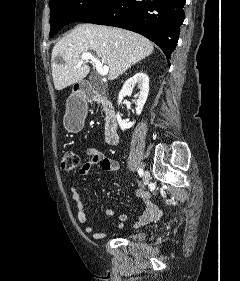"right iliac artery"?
<instances>
[{"label":"right iliac artery","instance_id":"1","mask_svg":"<svg viewBox=\"0 0 240 281\" xmlns=\"http://www.w3.org/2000/svg\"><path fill=\"white\" fill-rule=\"evenodd\" d=\"M138 174H139L140 177H142L144 175L143 169L139 168Z\"/></svg>","mask_w":240,"mask_h":281}]
</instances>
